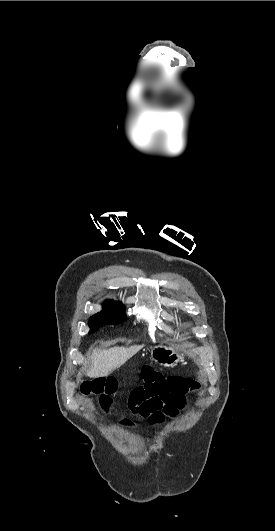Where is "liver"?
I'll return each mask as SVG.
<instances>
[{
	"label": "liver",
	"instance_id": "obj_1",
	"mask_svg": "<svg viewBox=\"0 0 275 531\" xmlns=\"http://www.w3.org/2000/svg\"><path fill=\"white\" fill-rule=\"evenodd\" d=\"M142 347L144 345H133L129 349L112 347V349H107V351L95 349L90 357L92 365L86 371L87 377H107L109 373L124 365L133 355H136Z\"/></svg>",
	"mask_w": 275,
	"mask_h": 531
}]
</instances>
